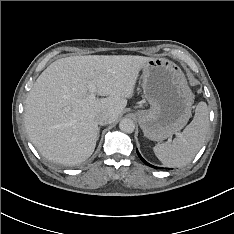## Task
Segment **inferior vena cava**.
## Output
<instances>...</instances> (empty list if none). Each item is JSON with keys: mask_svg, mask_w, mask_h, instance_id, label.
<instances>
[{"mask_svg": "<svg viewBox=\"0 0 234 234\" xmlns=\"http://www.w3.org/2000/svg\"><path fill=\"white\" fill-rule=\"evenodd\" d=\"M96 122L99 125H106L110 122V116L107 112H101L96 115Z\"/></svg>", "mask_w": 234, "mask_h": 234, "instance_id": "602c4592", "label": "inferior vena cava"}]
</instances>
